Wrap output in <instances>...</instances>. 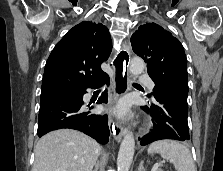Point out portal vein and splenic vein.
<instances>
[{"label":"portal vein and splenic vein","instance_id":"portal-vein-and-splenic-vein-1","mask_svg":"<svg viewBox=\"0 0 223 171\" xmlns=\"http://www.w3.org/2000/svg\"><path fill=\"white\" fill-rule=\"evenodd\" d=\"M163 166L161 163H156L153 168L152 171H158V167Z\"/></svg>","mask_w":223,"mask_h":171}]
</instances>
